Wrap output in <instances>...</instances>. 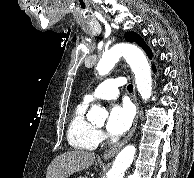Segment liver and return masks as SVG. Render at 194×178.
Instances as JSON below:
<instances>
[{"mask_svg":"<svg viewBox=\"0 0 194 178\" xmlns=\"http://www.w3.org/2000/svg\"><path fill=\"white\" fill-rule=\"evenodd\" d=\"M95 154L82 150L67 151L57 156L47 168L46 178H67L90 167Z\"/></svg>","mask_w":194,"mask_h":178,"instance_id":"6515ba94","label":"liver"}]
</instances>
